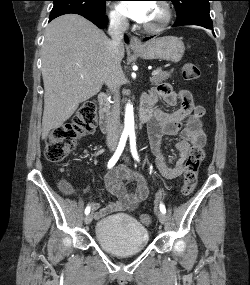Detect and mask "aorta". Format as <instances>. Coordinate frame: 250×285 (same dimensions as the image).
<instances>
[{
    "instance_id": "aorta-1",
    "label": "aorta",
    "mask_w": 250,
    "mask_h": 285,
    "mask_svg": "<svg viewBox=\"0 0 250 285\" xmlns=\"http://www.w3.org/2000/svg\"><path fill=\"white\" fill-rule=\"evenodd\" d=\"M124 135L134 134V111L133 105L128 103L125 108V119H124Z\"/></svg>"
}]
</instances>
